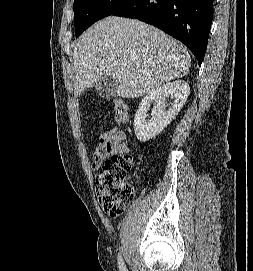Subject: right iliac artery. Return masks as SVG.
Masks as SVG:
<instances>
[{"label":"right iliac artery","mask_w":253,"mask_h":271,"mask_svg":"<svg viewBox=\"0 0 253 271\" xmlns=\"http://www.w3.org/2000/svg\"><path fill=\"white\" fill-rule=\"evenodd\" d=\"M118 264H119L120 271H127V269H126V267L124 265L122 256L120 254L118 255Z\"/></svg>","instance_id":"obj_1"}]
</instances>
